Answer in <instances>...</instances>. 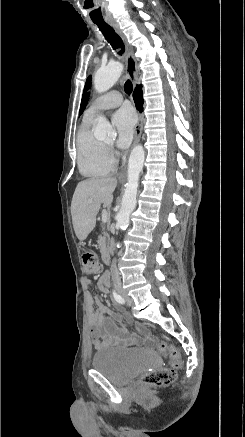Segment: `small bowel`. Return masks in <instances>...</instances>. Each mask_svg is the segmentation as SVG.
I'll return each mask as SVG.
<instances>
[{
    "label": "small bowel",
    "instance_id": "c3829d8e",
    "mask_svg": "<svg viewBox=\"0 0 245 437\" xmlns=\"http://www.w3.org/2000/svg\"><path fill=\"white\" fill-rule=\"evenodd\" d=\"M86 285L91 283L89 278H85ZM108 282H105L102 276L98 281V290L100 293H105ZM131 317L128 314H122L120 310H111L101 302L92 309L90 313V334L93 346L97 350H102L110 347H133L139 344L152 345L154 339L149 335L148 331L140 328L143 338L132 334L124 323L129 322ZM118 323L122 325L119 326Z\"/></svg>",
    "mask_w": 245,
    "mask_h": 437
}]
</instances>
